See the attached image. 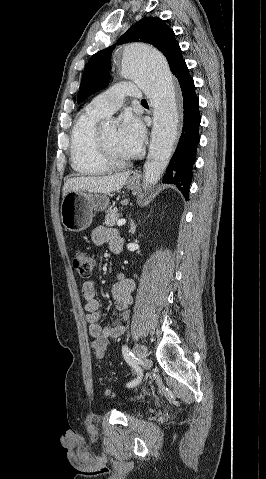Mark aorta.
<instances>
[{
  "label": "aorta",
  "instance_id": "obj_1",
  "mask_svg": "<svg viewBox=\"0 0 266 479\" xmlns=\"http://www.w3.org/2000/svg\"><path fill=\"white\" fill-rule=\"evenodd\" d=\"M121 67L122 75L142 89L153 107L151 141L144 164L146 190L161 178L177 139L179 114L175 81L163 55L143 43H132L123 48Z\"/></svg>",
  "mask_w": 266,
  "mask_h": 479
}]
</instances>
